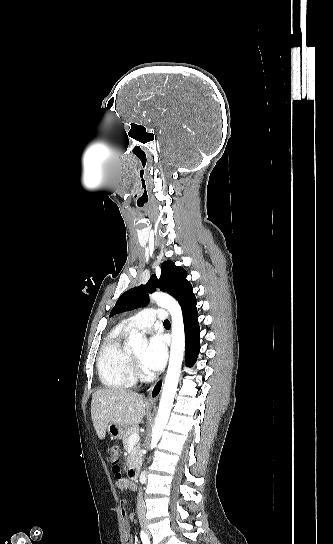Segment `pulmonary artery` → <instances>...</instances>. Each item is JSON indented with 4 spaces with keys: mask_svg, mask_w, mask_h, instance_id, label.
<instances>
[{
    "mask_svg": "<svg viewBox=\"0 0 333 544\" xmlns=\"http://www.w3.org/2000/svg\"><path fill=\"white\" fill-rule=\"evenodd\" d=\"M167 317L168 313L164 309L147 308L124 320L123 325L129 330L148 329L154 325L156 320L164 321Z\"/></svg>",
    "mask_w": 333,
    "mask_h": 544,
    "instance_id": "pulmonary-artery-1",
    "label": "pulmonary artery"
}]
</instances>
